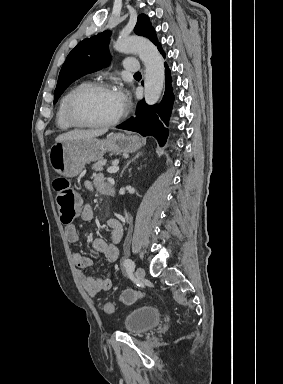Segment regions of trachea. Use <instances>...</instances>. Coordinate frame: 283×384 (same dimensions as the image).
<instances>
[{
  "instance_id": "trachea-1",
  "label": "trachea",
  "mask_w": 283,
  "mask_h": 384,
  "mask_svg": "<svg viewBox=\"0 0 283 384\" xmlns=\"http://www.w3.org/2000/svg\"><path fill=\"white\" fill-rule=\"evenodd\" d=\"M134 75H141L140 72H136Z\"/></svg>"
}]
</instances>
